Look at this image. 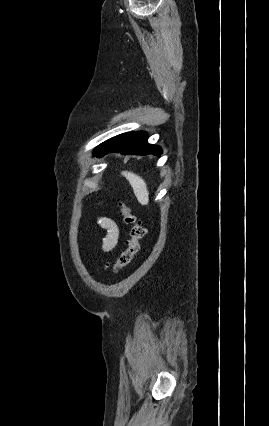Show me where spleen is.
<instances>
[{
  "label": "spleen",
  "instance_id": "3e777b00",
  "mask_svg": "<svg viewBox=\"0 0 269 426\" xmlns=\"http://www.w3.org/2000/svg\"><path fill=\"white\" fill-rule=\"evenodd\" d=\"M121 174L130 183L138 202L141 205H147L149 202V192L144 179L130 171H123Z\"/></svg>",
  "mask_w": 269,
  "mask_h": 426
}]
</instances>
